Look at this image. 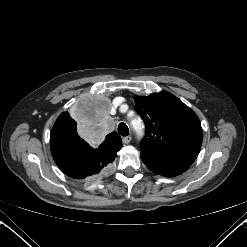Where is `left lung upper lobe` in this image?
I'll return each instance as SVG.
<instances>
[{
	"mask_svg": "<svg viewBox=\"0 0 247 247\" xmlns=\"http://www.w3.org/2000/svg\"><path fill=\"white\" fill-rule=\"evenodd\" d=\"M135 110L146 125L143 155L163 159H194L200 152L202 128L198 116L168 92L136 96Z\"/></svg>",
	"mask_w": 247,
	"mask_h": 247,
	"instance_id": "obj_1",
	"label": "left lung upper lobe"
}]
</instances>
